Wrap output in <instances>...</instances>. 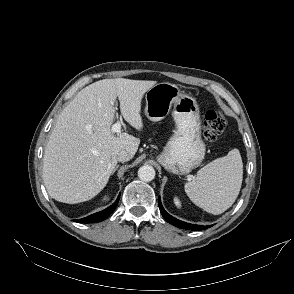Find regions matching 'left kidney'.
<instances>
[{
  "mask_svg": "<svg viewBox=\"0 0 294 294\" xmlns=\"http://www.w3.org/2000/svg\"><path fill=\"white\" fill-rule=\"evenodd\" d=\"M174 203H175V205L177 206V207H180V201H179V199L177 198V197H175L174 198Z\"/></svg>",
  "mask_w": 294,
  "mask_h": 294,
  "instance_id": "left-kidney-1",
  "label": "left kidney"
}]
</instances>
